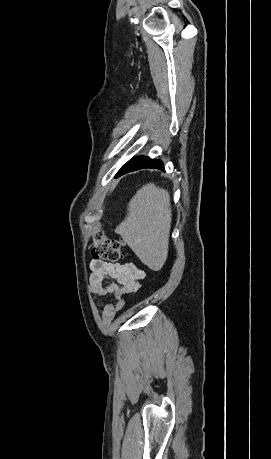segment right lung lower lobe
Returning a JSON list of instances; mask_svg holds the SVG:
<instances>
[{"instance_id":"obj_1","label":"right lung lower lobe","mask_w":271,"mask_h":459,"mask_svg":"<svg viewBox=\"0 0 271 459\" xmlns=\"http://www.w3.org/2000/svg\"><path fill=\"white\" fill-rule=\"evenodd\" d=\"M143 168H156L164 170L162 161L152 160L148 157L140 156L133 158L126 164H124L122 168L118 171L116 177Z\"/></svg>"}]
</instances>
